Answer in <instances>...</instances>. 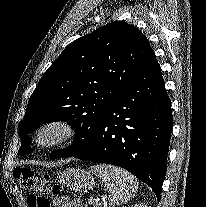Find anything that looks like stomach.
I'll use <instances>...</instances> for the list:
<instances>
[{"mask_svg": "<svg viewBox=\"0 0 206 207\" xmlns=\"http://www.w3.org/2000/svg\"><path fill=\"white\" fill-rule=\"evenodd\" d=\"M58 178L62 185L76 192H88L97 186L93 176L88 171L80 168L63 170L58 173Z\"/></svg>", "mask_w": 206, "mask_h": 207, "instance_id": "obj_1", "label": "stomach"}]
</instances>
